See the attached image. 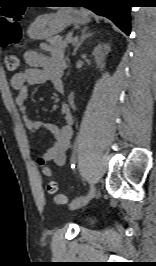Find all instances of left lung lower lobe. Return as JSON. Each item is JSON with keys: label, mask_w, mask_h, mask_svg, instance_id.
<instances>
[{"label": "left lung lower lobe", "mask_w": 156, "mask_h": 266, "mask_svg": "<svg viewBox=\"0 0 156 266\" xmlns=\"http://www.w3.org/2000/svg\"><path fill=\"white\" fill-rule=\"evenodd\" d=\"M64 3V2H57ZM78 7H87L94 13L112 20L123 32L130 34L131 0H72Z\"/></svg>", "instance_id": "0a47b994"}]
</instances>
